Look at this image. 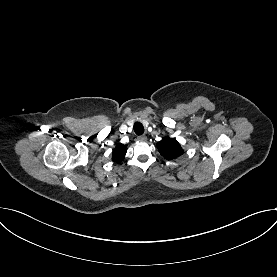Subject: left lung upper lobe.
Wrapping results in <instances>:
<instances>
[{"label":"left lung upper lobe","instance_id":"1","mask_svg":"<svg viewBox=\"0 0 277 277\" xmlns=\"http://www.w3.org/2000/svg\"><path fill=\"white\" fill-rule=\"evenodd\" d=\"M157 148L167 160H172L183 154L180 144L172 138L165 137L157 143Z\"/></svg>","mask_w":277,"mask_h":277}]
</instances>
